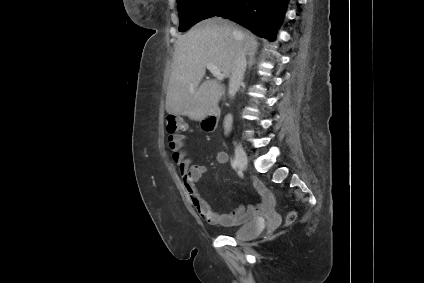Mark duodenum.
<instances>
[{"label":"duodenum","instance_id":"obj_1","mask_svg":"<svg viewBox=\"0 0 424 283\" xmlns=\"http://www.w3.org/2000/svg\"><path fill=\"white\" fill-rule=\"evenodd\" d=\"M219 120V109L217 107H213L206 114L205 118L202 122V128L204 131H213Z\"/></svg>","mask_w":424,"mask_h":283}]
</instances>
